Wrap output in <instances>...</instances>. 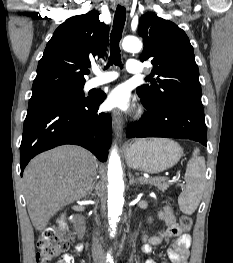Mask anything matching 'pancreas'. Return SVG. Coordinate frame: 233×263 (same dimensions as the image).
<instances>
[{
	"mask_svg": "<svg viewBox=\"0 0 233 263\" xmlns=\"http://www.w3.org/2000/svg\"><path fill=\"white\" fill-rule=\"evenodd\" d=\"M144 182L154 185L158 190L163 192L169 188V183L165 182L162 179L151 178L149 180H145Z\"/></svg>",
	"mask_w": 233,
	"mask_h": 263,
	"instance_id": "pancreas-1",
	"label": "pancreas"
}]
</instances>
